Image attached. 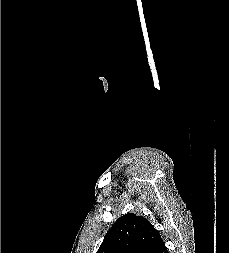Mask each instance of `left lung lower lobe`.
<instances>
[{
    "instance_id": "left-lung-lower-lobe-1",
    "label": "left lung lower lobe",
    "mask_w": 229,
    "mask_h": 253,
    "mask_svg": "<svg viewBox=\"0 0 229 253\" xmlns=\"http://www.w3.org/2000/svg\"><path fill=\"white\" fill-rule=\"evenodd\" d=\"M155 253H169L164 242H162L158 248L156 249Z\"/></svg>"
}]
</instances>
